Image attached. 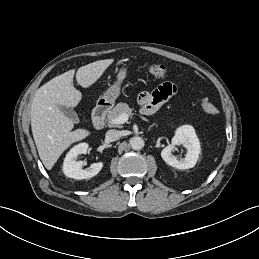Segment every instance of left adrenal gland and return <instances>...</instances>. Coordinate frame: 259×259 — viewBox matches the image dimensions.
Returning a JSON list of instances; mask_svg holds the SVG:
<instances>
[{
	"label": "left adrenal gland",
	"mask_w": 259,
	"mask_h": 259,
	"mask_svg": "<svg viewBox=\"0 0 259 259\" xmlns=\"http://www.w3.org/2000/svg\"><path fill=\"white\" fill-rule=\"evenodd\" d=\"M155 124H152L151 126H150V128L148 129V131H150L151 130V128L154 126Z\"/></svg>",
	"instance_id": "obj_1"
}]
</instances>
